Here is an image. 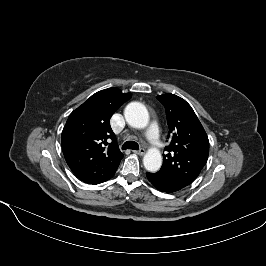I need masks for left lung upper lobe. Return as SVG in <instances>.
Returning <instances> with one entry per match:
<instances>
[{"label":"left lung upper lobe","instance_id":"5c2ea615","mask_svg":"<svg viewBox=\"0 0 266 266\" xmlns=\"http://www.w3.org/2000/svg\"><path fill=\"white\" fill-rule=\"evenodd\" d=\"M166 110L168 137L163 165L158 175L181 188L190 185L200 174L209 155V140L192 107L177 95L157 96Z\"/></svg>","mask_w":266,"mask_h":266}]
</instances>
